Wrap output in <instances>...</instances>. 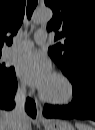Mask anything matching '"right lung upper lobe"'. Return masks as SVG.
Wrapping results in <instances>:
<instances>
[{
    "label": "right lung upper lobe",
    "mask_w": 95,
    "mask_h": 130,
    "mask_svg": "<svg viewBox=\"0 0 95 130\" xmlns=\"http://www.w3.org/2000/svg\"><path fill=\"white\" fill-rule=\"evenodd\" d=\"M25 10V0H0V54L3 43H12L10 34L17 33Z\"/></svg>",
    "instance_id": "cb5924a9"
}]
</instances>
